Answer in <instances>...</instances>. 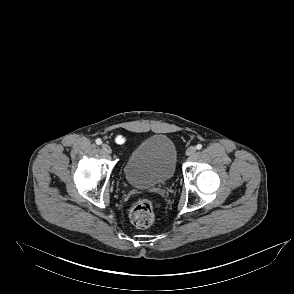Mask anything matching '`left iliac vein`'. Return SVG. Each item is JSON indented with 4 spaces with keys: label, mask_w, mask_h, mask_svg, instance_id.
Returning a JSON list of instances; mask_svg holds the SVG:
<instances>
[{
    "label": "left iliac vein",
    "mask_w": 294,
    "mask_h": 294,
    "mask_svg": "<svg viewBox=\"0 0 294 294\" xmlns=\"http://www.w3.org/2000/svg\"><path fill=\"white\" fill-rule=\"evenodd\" d=\"M195 152H196V147L191 146L187 149L186 155L191 156V155L195 154Z\"/></svg>",
    "instance_id": "1"
}]
</instances>
